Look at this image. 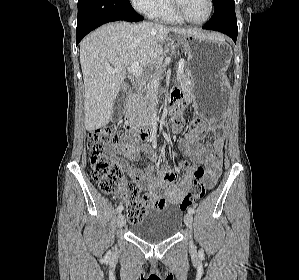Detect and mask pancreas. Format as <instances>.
I'll list each match as a JSON object with an SVG mask.
<instances>
[{
    "instance_id": "obj_1",
    "label": "pancreas",
    "mask_w": 299,
    "mask_h": 280,
    "mask_svg": "<svg viewBox=\"0 0 299 280\" xmlns=\"http://www.w3.org/2000/svg\"><path fill=\"white\" fill-rule=\"evenodd\" d=\"M180 87L190 91L191 81L187 73H182L179 79ZM158 102L157 91L149 86L143 94L135 97L128 107V114L132 122L137 126H145L149 122V115L154 110Z\"/></svg>"
}]
</instances>
